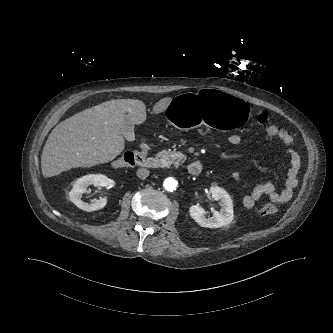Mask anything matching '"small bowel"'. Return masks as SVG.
Wrapping results in <instances>:
<instances>
[{"instance_id": "c3829d8e", "label": "small bowel", "mask_w": 333, "mask_h": 333, "mask_svg": "<svg viewBox=\"0 0 333 333\" xmlns=\"http://www.w3.org/2000/svg\"><path fill=\"white\" fill-rule=\"evenodd\" d=\"M271 138H275L280 141L289 154L290 167L287 171V179L285 181L284 188L282 191H277L275 186L270 182H264L256 185L252 192L245 195L242 199V203L246 208H252L256 201L261 197H268L277 203L287 202L292 197L293 191L297 186V176L301 161L298 152L294 149V137L286 129L278 128L277 135ZM228 141L231 145L237 146L242 142V138L239 134H231ZM141 150L146 152L147 147L142 146ZM232 178L238 183H240L243 179L242 174L239 171L232 172Z\"/></svg>"}]
</instances>
